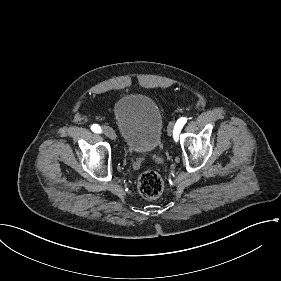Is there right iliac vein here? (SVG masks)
I'll return each mask as SVG.
<instances>
[{"instance_id":"1","label":"right iliac vein","mask_w":281,"mask_h":281,"mask_svg":"<svg viewBox=\"0 0 281 281\" xmlns=\"http://www.w3.org/2000/svg\"><path fill=\"white\" fill-rule=\"evenodd\" d=\"M103 133L112 140L116 139L115 131L109 126L103 127Z\"/></svg>"}]
</instances>
